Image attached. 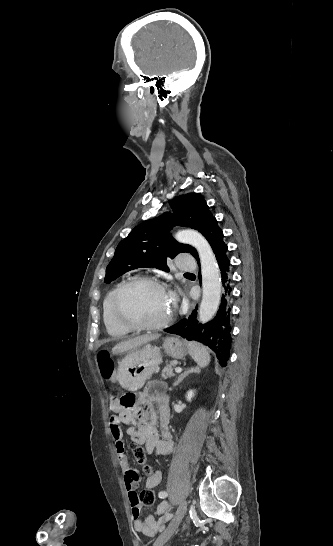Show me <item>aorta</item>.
<instances>
[{
	"mask_svg": "<svg viewBox=\"0 0 333 546\" xmlns=\"http://www.w3.org/2000/svg\"><path fill=\"white\" fill-rule=\"evenodd\" d=\"M175 238L179 242L192 245L198 251L203 287L199 321L206 323L213 318L220 304L221 279L215 255L207 240L195 230H182L175 235Z\"/></svg>",
	"mask_w": 333,
	"mask_h": 546,
	"instance_id": "1",
	"label": "aorta"
}]
</instances>
